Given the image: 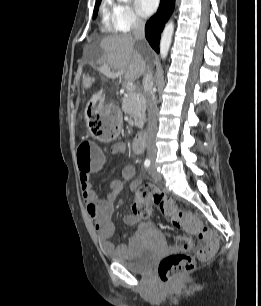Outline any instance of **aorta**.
Instances as JSON below:
<instances>
[{
  "label": "aorta",
  "mask_w": 261,
  "mask_h": 306,
  "mask_svg": "<svg viewBox=\"0 0 261 306\" xmlns=\"http://www.w3.org/2000/svg\"><path fill=\"white\" fill-rule=\"evenodd\" d=\"M121 2H128L129 0H119ZM174 33V23L173 21H169L161 35V40H160V56L162 59H165L168 55L170 45L172 42V36Z\"/></svg>",
  "instance_id": "1"
}]
</instances>
